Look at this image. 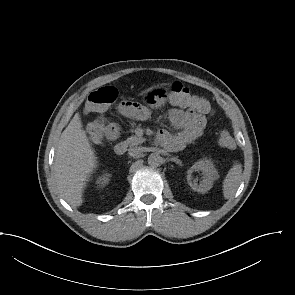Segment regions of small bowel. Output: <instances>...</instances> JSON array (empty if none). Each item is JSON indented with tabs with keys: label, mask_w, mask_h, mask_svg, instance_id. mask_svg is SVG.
I'll list each match as a JSON object with an SVG mask.
<instances>
[{
	"label": "small bowel",
	"mask_w": 295,
	"mask_h": 295,
	"mask_svg": "<svg viewBox=\"0 0 295 295\" xmlns=\"http://www.w3.org/2000/svg\"><path fill=\"white\" fill-rule=\"evenodd\" d=\"M173 108L168 111V117L172 125L180 131L171 134L167 130H160L158 137L161 142L171 150H180L187 144L198 139L206 127V118L194 108L186 107L171 100ZM185 108V109H184ZM118 112L123 116L144 120L148 116V110L131 101H122L118 105ZM107 136L114 139L118 136V129L114 123L107 125Z\"/></svg>",
	"instance_id": "1"
}]
</instances>
